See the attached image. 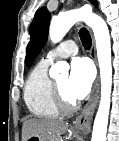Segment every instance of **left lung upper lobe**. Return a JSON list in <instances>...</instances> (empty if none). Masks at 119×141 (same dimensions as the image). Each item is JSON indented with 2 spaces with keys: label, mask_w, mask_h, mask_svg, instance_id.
I'll return each instance as SVG.
<instances>
[{
  "label": "left lung upper lobe",
  "mask_w": 119,
  "mask_h": 141,
  "mask_svg": "<svg viewBox=\"0 0 119 141\" xmlns=\"http://www.w3.org/2000/svg\"><path fill=\"white\" fill-rule=\"evenodd\" d=\"M91 3L97 6L96 0H91ZM50 22V13L46 7H42L34 16L30 25V41L27 46L26 66H30L37 55L40 53L44 44L47 41L48 29Z\"/></svg>",
  "instance_id": "5c2ea615"
}]
</instances>
